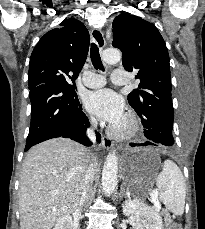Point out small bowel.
Wrapping results in <instances>:
<instances>
[{
  "label": "small bowel",
  "mask_w": 205,
  "mask_h": 229,
  "mask_svg": "<svg viewBox=\"0 0 205 229\" xmlns=\"http://www.w3.org/2000/svg\"><path fill=\"white\" fill-rule=\"evenodd\" d=\"M170 229H179L177 226H173L172 228H170Z\"/></svg>",
  "instance_id": "small-bowel-1"
}]
</instances>
